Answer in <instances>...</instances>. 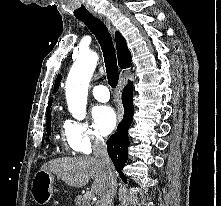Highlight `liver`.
<instances>
[{"mask_svg": "<svg viewBox=\"0 0 221 206\" xmlns=\"http://www.w3.org/2000/svg\"><path fill=\"white\" fill-rule=\"evenodd\" d=\"M41 170L56 175L74 187L85 186L93 177L91 191L99 197L105 185L104 171L95 157L56 158L44 164Z\"/></svg>", "mask_w": 221, "mask_h": 206, "instance_id": "liver-1", "label": "liver"}]
</instances>
